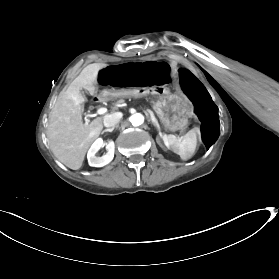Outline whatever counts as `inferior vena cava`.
<instances>
[{
    "mask_svg": "<svg viewBox=\"0 0 279 279\" xmlns=\"http://www.w3.org/2000/svg\"><path fill=\"white\" fill-rule=\"evenodd\" d=\"M122 117V114L121 113H113V114H110V115H105L104 116V126L106 127H111L113 126L114 128V125L119 121V118Z\"/></svg>",
    "mask_w": 279,
    "mask_h": 279,
    "instance_id": "inferior-vena-cava-1",
    "label": "inferior vena cava"
}]
</instances>
